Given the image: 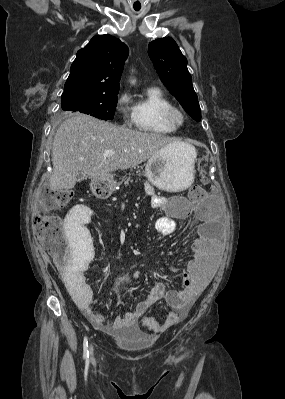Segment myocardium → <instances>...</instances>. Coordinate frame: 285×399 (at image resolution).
I'll use <instances>...</instances> for the list:
<instances>
[{
    "instance_id": "obj_1",
    "label": "myocardium",
    "mask_w": 285,
    "mask_h": 399,
    "mask_svg": "<svg viewBox=\"0 0 285 399\" xmlns=\"http://www.w3.org/2000/svg\"><path fill=\"white\" fill-rule=\"evenodd\" d=\"M163 119L169 126L177 128L184 123L185 116L179 108L171 105L164 110Z\"/></svg>"
}]
</instances>
